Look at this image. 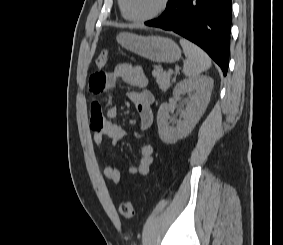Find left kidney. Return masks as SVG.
Returning a JSON list of instances; mask_svg holds the SVG:
<instances>
[{
  "label": "left kidney",
  "instance_id": "1",
  "mask_svg": "<svg viewBox=\"0 0 283 245\" xmlns=\"http://www.w3.org/2000/svg\"><path fill=\"white\" fill-rule=\"evenodd\" d=\"M213 84L214 81L211 77L199 76L185 79L175 86L173 97L176 99L182 94H188L190 101L182 113L183 119L175 121L176 126L169 125V122L173 121L170 114L174 112L176 102L173 100L160 106L157 114V124L162 142L174 144L193 130L207 108Z\"/></svg>",
  "mask_w": 283,
  "mask_h": 245
}]
</instances>
